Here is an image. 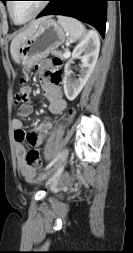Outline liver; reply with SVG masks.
I'll use <instances>...</instances> for the list:
<instances>
[{"label": "liver", "instance_id": "obj_1", "mask_svg": "<svg viewBox=\"0 0 133 253\" xmlns=\"http://www.w3.org/2000/svg\"><path fill=\"white\" fill-rule=\"evenodd\" d=\"M48 19V17H43L38 20H35L29 24V26L22 32H20L18 35H16L10 45V53L12 56V59L17 62V56H18V50L21 46V44L26 41L30 36H32L39 25Z\"/></svg>", "mask_w": 133, "mask_h": 253}]
</instances>
